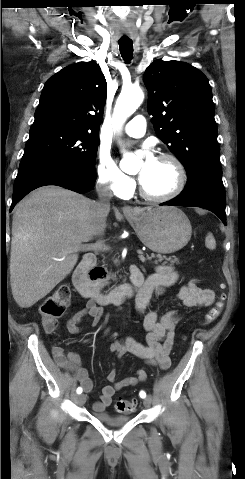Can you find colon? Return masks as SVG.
Listing matches in <instances>:
<instances>
[{"label": "colon", "mask_w": 245, "mask_h": 479, "mask_svg": "<svg viewBox=\"0 0 245 479\" xmlns=\"http://www.w3.org/2000/svg\"><path fill=\"white\" fill-rule=\"evenodd\" d=\"M225 294H221L219 300L204 315L201 323L209 325L220 316L224 302ZM71 303V291L67 285L59 286L51 295H49L40 307L42 325L47 333L54 332ZM136 408V402L133 400L119 399L115 404V409L119 413H131Z\"/></svg>", "instance_id": "5ec220e1"}]
</instances>
